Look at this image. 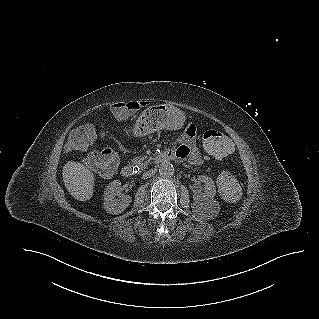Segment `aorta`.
<instances>
[{"mask_svg":"<svg viewBox=\"0 0 319 319\" xmlns=\"http://www.w3.org/2000/svg\"><path fill=\"white\" fill-rule=\"evenodd\" d=\"M174 171V166L170 162H162L159 166V173L163 176H172Z\"/></svg>","mask_w":319,"mask_h":319,"instance_id":"762f6f07","label":"aorta"}]
</instances>
